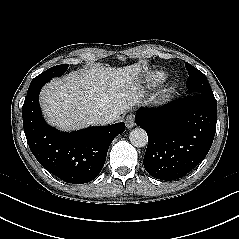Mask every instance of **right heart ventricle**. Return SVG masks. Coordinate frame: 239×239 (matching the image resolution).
<instances>
[{
    "instance_id": "1",
    "label": "right heart ventricle",
    "mask_w": 239,
    "mask_h": 239,
    "mask_svg": "<svg viewBox=\"0 0 239 239\" xmlns=\"http://www.w3.org/2000/svg\"><path fill=\"white\" fill-rule=\"evenodd\" d=\"M166 78V74L161 72V71H156L151 73L148 78H147V82L148 85L155 87L157 85H159L160 83H162Z\"/></svg>"
}]
</instances>
